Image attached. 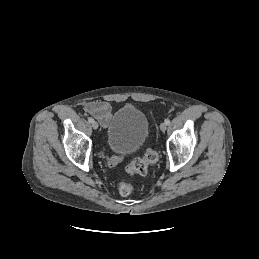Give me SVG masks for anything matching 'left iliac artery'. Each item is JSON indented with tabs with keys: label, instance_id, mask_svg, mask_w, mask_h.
<instances>
[{
	"label": "left iliac artery",
	"instance_id": "obj_1",
	"mask_svg": "<svg viewBox=\"0 0 259 259\" xmlns=\"http://www.w3.org/2000/svg\"><path fill=\"white\" fill-rule=\"evenodd\" d=\"M165 123H166L167 125H169V124H170V120H169V119H166V120H165Z\"/></svg>",
	"mask_w": 259,
	"mask_h": 259
}]
</instances>
